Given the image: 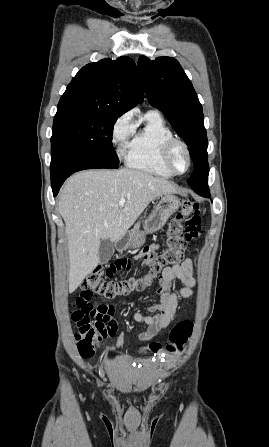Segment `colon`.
<instances>
[{
  "label": "colon",
  "instance_id": "1",
  "mask_svg": "<svg viewBox=\"0 0 269 447\" xmlns=\"http://www.w3.org/2000/svg\"><path fill=\"white\" fill-rule=\"evenodd\" d=\"M201 223L199 204L193 201L185 202L181 211L175 214L168 224L164 238L165 249L160 253L152 251L141 253V257L151 269L145 277L138 280H114L100 271H95L85 278L83 281L84 292L77 300L78 309L73 312V320L78 327L75 334L77 349L82 357H92L99 346V342L103 338L114 339L115 331L119 329L117 322H110V314L114 312V309L101 304L94 299V295L110 298L126 294L132 289L141 288L148 284L159 272L180 263L186 243L195 241L200 237ZM122 266L124 270L134 269V264L130 263L129 257H118L117 262H107L104 269L106 267H117L120 271ZM137 269L143 270L144 264L138 263ZM192 331V322L181 320L170 330L169 342L166 344L153 343L150 350L154 354L163 351L180 352Z\"/></svg>",
  "mask_w": 269,
  "mask_h": 447
}]
</instances>
